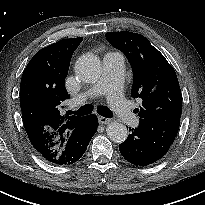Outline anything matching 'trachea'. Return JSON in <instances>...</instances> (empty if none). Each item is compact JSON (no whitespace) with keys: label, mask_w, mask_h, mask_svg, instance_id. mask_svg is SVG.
I'll return each mask as SVG.
<instances>
[{"label":"trachea","mask_w":205,"mask_h":205,"mask_svg":"<svg viewBox=\"0 0 205 205\" xmlns=\"http://www.w3.org/2000/svg\"><path fill=\"white\" fill-rule=\"evenodd\" d=\"M92 111H93V106L91 104H86L80 107L77 111H69V114H77L80 116H84V115L90 114ZM97 111L103 117H106V118L113 117V112L105 106H98Z\"/></svg>","instance_id":"3493384b"}]
</instances>
